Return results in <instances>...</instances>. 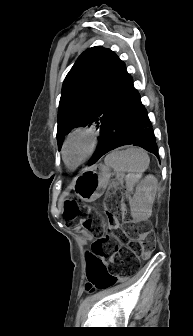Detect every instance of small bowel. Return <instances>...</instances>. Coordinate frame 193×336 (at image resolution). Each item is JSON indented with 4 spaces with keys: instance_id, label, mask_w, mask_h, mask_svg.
Segmentation results:
<instances>
[{
    "instance_id": "1",
    "label": "small bowel",
    "mask_w": 193,
    "mask_h": 336,
    "mask_svg": "<svg viewBox=\"0 0 193 336\" xmlns=\"http://www.w3.org/2000/svg\"><path fill=\"white\" fill-rule=\"evenodd\" d=\"M90 265H91V256L88 255L87 256V275H88V272H89V269H90Z\"/></svg>"
}]
</instances>
